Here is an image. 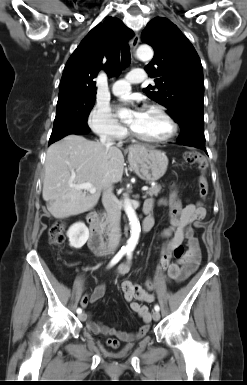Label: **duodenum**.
Here are the masks:
<instances>
[{
    "label": "duodenum",
    "instance_id": "410a0bca",
    "mask_svg": "<svg viewBox=\"0 0 247 385\" xmlns=\"http://www.w3.org/2000/svg\"><path fill=\"white\" fill-rule=\"evenodd\" d=\"M87 221L90 226V234L88 239L89 247L99 254H104L106 252L107 246L103 239L102 225L98 219L97 213L95 211H91L88 214ZM153 225V217L147 216L143 222L142 229L144 232H148L152 229Z\"/></svg>",
    "mask_w": 247,
    "mask_h": 385
}]
</instances>
